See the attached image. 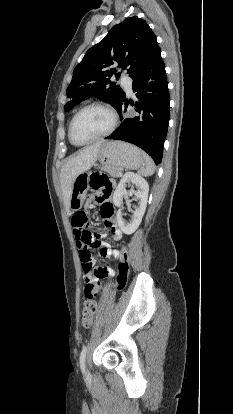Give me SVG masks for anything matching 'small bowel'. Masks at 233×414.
I'll return each mask as SVG.
<instances>
[{"mask_svg": "<svg viewBox=\"0 0 233 414\" xmlns=\"http://www.w3.org/2000/svg\"><path fill=\"white\" fill-rule=\"evenodd\" d=\"M101 196V194L99 192H96V198L98 199ZM111 199V195L106 199V201L110 202ZM112 204V203H111ZM113 206V205H112ZM102 216V215H101ZM102 218L104 219L106 226L109 228V235L111 236V238L115 241H119L122 238V231L120 230L119 226L117 225V222L114 218V208L112 213L108 216H102ZM75 236L77 235V231L76 229L74 230ZM101 255L105 258H112V257H116L117 258V250H113L108 246H104L101 248L100 250ZM106 268V276L108 275H113L114 271L110 268ZM103 277V278H105ZM84 278L87 284H93L97 287H99V280L101 279L99 277V275L96 273V269H92L91 271L85 272L84 271Z\"/></svg>", "mask_w": 233, "mask_h": 414, "instance_id": "c3829d8e", "label": "small bowel"}]
</instances>
